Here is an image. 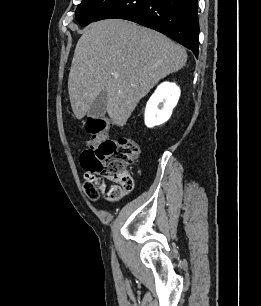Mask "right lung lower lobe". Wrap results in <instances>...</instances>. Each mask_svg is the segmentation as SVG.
Wrapping results in <instances>:
<instances>
[{
    "label": "right lung lower lobe",
    "mask_w": 261,
    "mask_h": 306,
    "mask_svg": "<svg viewBox=\"0 0 261 306\" xmlns=\"http://www.w3.org/2000/svg\"><path fill=\"white\" fill-rule=\"evenodd\" d=\"M125 19L159 31L198 57L197 0H115L93 22Z\"/></svg>",
    "instance_id": "obj_1"
}]
</instances>
